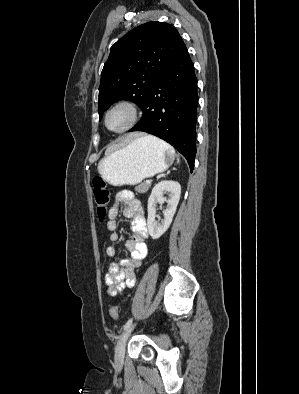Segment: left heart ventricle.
Listing matches in <instances>:
<instances>
[{"mask_svg":"<svg viewBox=\"0 0 299 394\" xmlns=\"http://www.w3.org/2000/svg\"><path fill=\"white\" fill-rule=\"evenodd\" d=\"M129 120V113L124 108L113 111L108 117V126L111 129H119L123 127Z\"/></svg>","mask_w":299,"mask_h":394,"instance_id":"left-heart-ventricle-1","label":"left heart ventricle"}]
</instances>
